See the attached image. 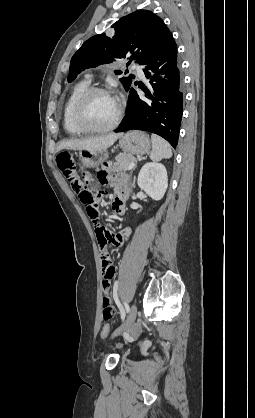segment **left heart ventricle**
<instances>
[{"label": "left heart ventricle", "instance_id": "1", "mask_svg": "<svg viewBox=\"0 0 255 418\" xmlns=\"http://www.w3.org/2000/svg\"><path fill=\"white\" fill-rule=\"evenodd\" d=\"M117 112V104L107 94H95L87 103L86 119L88 123L96 127H103L110 124Z\"/></svg>", "mask_w": 255, "mask_h": 418}]
</instances>
